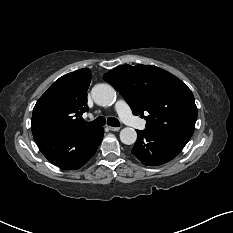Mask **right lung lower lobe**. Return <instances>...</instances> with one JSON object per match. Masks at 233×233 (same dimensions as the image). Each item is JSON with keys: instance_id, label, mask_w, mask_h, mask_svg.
<instances>
[{"instance_id": "98d812e1", "label": "right lung lower lobe", "mask_w": 233, "mask_h": 233, "mask_svg": "<svg viewBox=\"0 0 233 233\" xmlns=\"http://www.w3.org/2000/svg\"><path fill=\"white\" fill-rule=\"evenodd\" d=\"M103 134L102 127H94L74 135L35 136L34 140L52 164L64 170H75L82 167L95 154Z\"/></svg>"}]
</instances>
